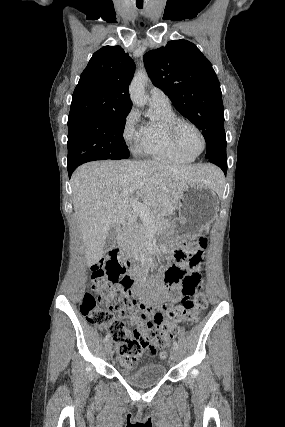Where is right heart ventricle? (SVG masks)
Segmentation results:
<instances>
[{
  "mask_svg": "<svg viewBox=\"0 0 285 427\" xmlns=\"http://www.w3.org/2000/svg\"><path fill=\"white\" fill-rule=\"evenodd\" d=\"M152 108L157 114V119L149 120L141 126L137 151L161 162L177 164L192 162L193 157L182 154L173 146L165 130L166 123L177 117L171 106L152 104Z\"/></svg>",
  "mask_w": 285,
  "mask_h": 427,
  "instance_id": "right-heart-ventricle-1",
  "label": "right heart ventricle"
}]
</instances>
